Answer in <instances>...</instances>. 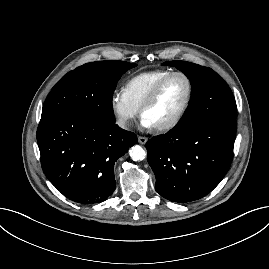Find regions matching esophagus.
Returning a JSON list of instances; mask_svg holds the SVG:
<instances>
[{"mask_svg": "<svg viewBox=\"0 0 269 269\" xmlns=\"http://www.w3.org/2000/svg\"><path fill=\"white\" fill-rule=\"evenodd\" d=\"M147 138L146 137H142V136H139L138 137V142L140 143V144H145L146 142H147Z\"/></svg>", "mask_w": 269, "mask_h": 269, "instance_id": "obj_1", "label": "esophagus"}]
</instances>
